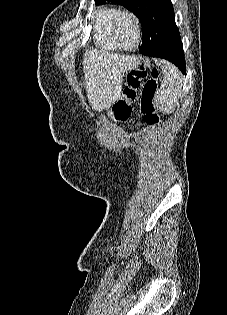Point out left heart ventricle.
Returning <instances> with one entry per match:
<instances>
[{"instance_id": "left-heart-ventricle-1", "label": "left heart ventricle", "mask_w": 227, "mask_h": 315, "mask_svg": "<svg viewBox=\"0 0 227 315\" xmlns=\"http://www.w3.org/2000/svg\"><path fill=\"white\" fill-rule=\"evenodd\" d=\"M117 35L121 44L125 47H133L137 42V31L134 21L125 17L117 28Z\"/></svg>"}]
</instances>
